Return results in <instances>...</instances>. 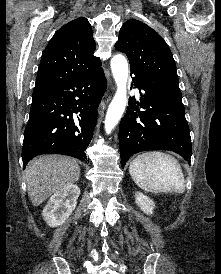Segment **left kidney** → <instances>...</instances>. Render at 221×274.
Returning <instances> with one entry per match:
<instances>
[{
	"instance_id": "1",
	"label": "left kidney",
	"mask_w": 221,
	"mask_h": 274,
	"mask_svg": "<svg viewBox=\"0 0 221 274\" xmlns=\"http://www.w3.org/2000/svg\"><path fill=\"white\" fill-rule=\"evenodd\" d=\"M135 200H136V204L140 207V209L144 213H146L147 215L148 214L150 215L153 213L155 203L153 202L152 199L145 196L143 193L137 192L135 193Z\"/></svg>"
}]
</instances>
